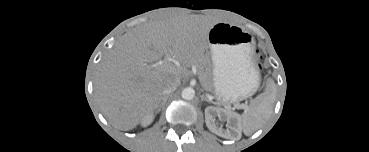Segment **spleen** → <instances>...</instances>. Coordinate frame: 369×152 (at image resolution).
I'll use <instances>...</instances> for the list:
<instances>
[{
    "label": "spleen",
    "instance_id": "spleen-1",
    "mask_svg": "<svg viewBox=\"0 0 369 152\" xmlns=\"http://www.w3.org/2000/svg\"><path fill=\"white\" fill-rule=\"evenodd\" d=\"M275 101V84L269 82L265 91L251 102L250 107L239 117L245 134L249 135L260 128L270 117Z\"/></svg>",
    "mask_w": 369,
    "mask_h": 152
}]
</instances>
